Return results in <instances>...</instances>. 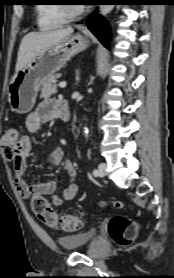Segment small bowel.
Returning a JSON list of instances; mask_svg holds the SVG:
<instances>
[{"instance_id": "1", "label": "small bowel", "mask_w": 174, "mask_h": 278, "mask_svg": "<svg viewBox=\"0 0 174 278\" xmlns=\"http://www.w3.org/2000/svg\"><path fill=\"white\" fill-rule=\"evenodd\" d=\"M57 100L45 99L36 110L29 114L25 121L26 129L29 133L38 132L42 125L49 122L57 116L56 107ZM32 143L27 135L19 136L13 143L14 154V179L15 186L19 195L23 198H29L35 195H49L51 203L55 206L62 204L64 200H72L78 192V186L75 182L76 169L74 164L67 160L64 163V171L69 177V185L63 189L61 194H57L58 182L56 179H51L38 184H29L26 180V173L28 168V159L31 155ZM62 157V151L56 149L52 153V161L57 163Z\"/></svg>"}]
</instances>
